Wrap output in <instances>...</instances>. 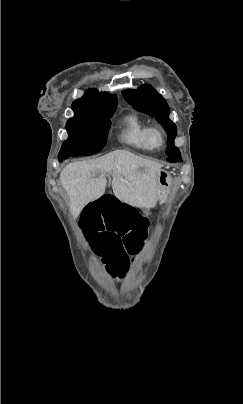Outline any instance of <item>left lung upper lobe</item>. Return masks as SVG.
Returning <instances> with one entry per match:
<instances>
[{"mask_svg":"<svg viewBox=\"0 0 243 404\" xmlns=\"http://www.w3.org/2000/svg\"><path fill=\"white\" fill-rule=\"evenodd\" d=\"M122 95L136 110L156 118L167 132V160L170 162L181 161L180 152L178 148L174 146L177 128L168 117L170 111L166 100L149 86L138 90H125L122 92Z\"/></svg>","mask_w":243,"mask_h":404,"instance_id":"left-lung-upper-lobe-1","label":"left lung upper lobe"}]
</instances>
